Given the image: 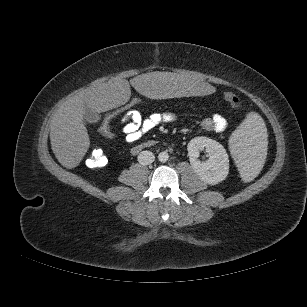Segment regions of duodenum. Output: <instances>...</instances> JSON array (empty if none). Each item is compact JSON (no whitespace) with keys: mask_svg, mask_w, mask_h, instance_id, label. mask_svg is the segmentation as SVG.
Returning <instances> with one entry per match:
<instances>
[{"mask_svg":"<svg viewBox=\"0 0 307 307\" xmlns=\"http://www.w3.org/2000/svg\"><path fill=\"white\" fill-rule=\"evenodd\" d=\"M151 144L149 142H143L141 144H138L136 146L133 147L132 151L133 153H138L139 151H141L144 148L149 147Z\"/></svg>","mask_w":307,"mask_h":307,"instance_id":"duodenum-1","label":"duodenum"}]
</instances>
